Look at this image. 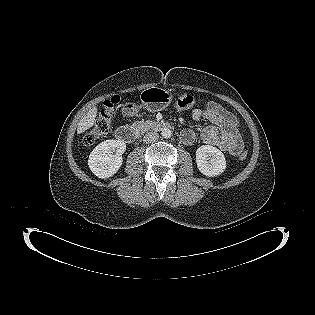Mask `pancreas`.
<instances>
[{
	"label": "pancreas",
	"mask_w": 315,
	"mask_h": 315,
	"mask_svg": "<svg viewBox=\"0 0 315 315\" xmlns=\"http://www.w3.org/2000/svg\"><path fill=\"white\" fill-rule=\"evenodd\" d=\"M136 126H137V128H139L141 131H146V130L148 129V127H149L148 123H147V122H144V121L136 123Z\"/></svg>",
	"instance_id": "cf45deb5"
}]
</instances>
